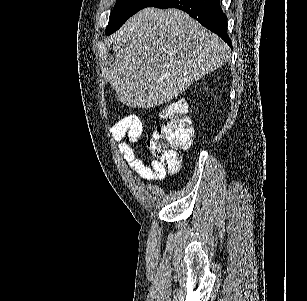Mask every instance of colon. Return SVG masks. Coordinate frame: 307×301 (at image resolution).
I'll return each mask as SVG.
<instances>
[{"instance_id":"obj_1","label":"colon","mask_w":307,"mask_h":301,"mask_svg":"<svg viewBox=\"0 0 307 301\" xmlns=\"http://www.w3.org/2000/svg\"><path fill=\"white\" fill-rule=\"evenodd\" d=\"M160 117L164 123L154 128L146 145L165 171L174 173L181 162L179 151L190 148L193 143L194 129L186 101H171L162 108Z\"/></svg>"}]
</instances>
